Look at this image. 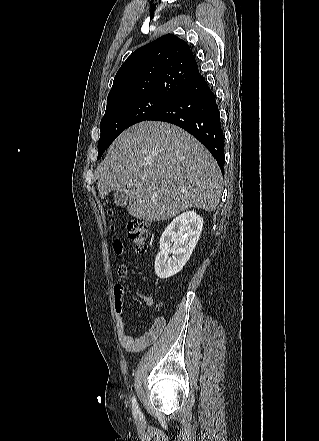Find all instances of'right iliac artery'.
<instances>
[{
	"label": "right iliac artery",
	"instance_id": "right-iliac-artery-1",
	"mask_svg": "<svg viewBox=\"0 0 319 441\" xmlns=\"http://www.w3.org/2000/svg\"><path fill=\"white\" fill-rule=\"evenodd\" d=\"M132 412L134 416L139 414V407L135 396L132 397Z\"/></svg>",
	"mask_w": 319,
	"mask_h": 441
}]
</instances>
